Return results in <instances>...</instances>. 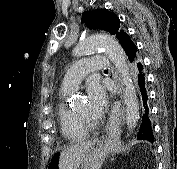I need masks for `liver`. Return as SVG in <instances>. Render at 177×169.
I'll return each instance as SVG.
<instances>
[{
	"instance_id": "liver-1",
	"label": "liver",
	"mask_w": 177,
	"mask_h": 169,
	"mask_svg": "<svg viewBox=\"0 0 177 169\" xmlns=\"http://www.w3.org/2000/svg\"><path fill=\"white\" fill-rule=\"evenodd\" d=\"M97 140L87 141L73 145L60 153L59 169H78L83 159L96 145Z\"/></svg>"
}]
</instances>
